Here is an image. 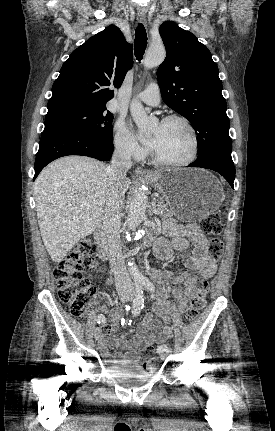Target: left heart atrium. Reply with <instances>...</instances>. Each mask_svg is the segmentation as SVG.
<instances>
[{"label":"left heart atrium","mask_w":275,"mask_h":431,"mask_svg":"<svg viewBox=\"0 0 275 431\" xmlns=\"http://www.w3.org/2000/svg\"><path fill=\"white\" fill-rule=\"evenodd\" d=\"M147 143L149 144V146L154 147L155 146V139L151 138L147 141Z\"/></svg>","instance_id":"obj_1"}]
</instances>
